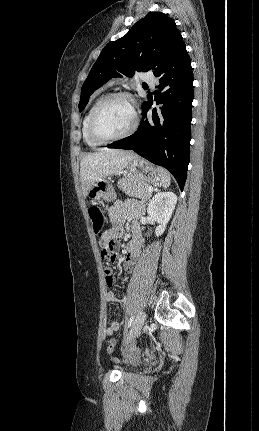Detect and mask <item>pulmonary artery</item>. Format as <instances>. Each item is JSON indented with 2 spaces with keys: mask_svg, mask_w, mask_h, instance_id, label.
I'll return each instance as SVG.
<instances>
[{
  "mask_svg": "<svg viewBox=\"0 0 259 431\" xmlns=\"http://www.w3.org/2000/svg\"><path fill=\"white\" fill-rule=\"evenodd\" d=\"M143 80L145 82L149 83L151 86H153L155 84V78L152 75H150V74H146L143 77Z\"/></svg>",
  "mask_w": 259,
  "mask_h": 431,
  "instance_id": "obj_1",
  "label": "pulmonary artery"
}]
</instances>
